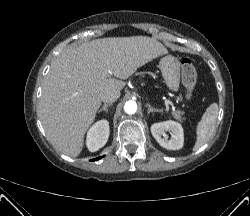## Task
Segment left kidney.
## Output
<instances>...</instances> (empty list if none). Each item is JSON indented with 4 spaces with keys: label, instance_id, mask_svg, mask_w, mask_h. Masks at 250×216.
Wrapping results in <instances>:
<instances>
[{
    "label": "left kidney",
    "instance_id": "5707ae66",
    "mask_svg": "<svg viewBox=\"0 0 250 216\" xmlns=\"http://www.w3.org/2000/svg\"><path fill=\"white\" fill-rule=\"evenodd\" d=\"M166 131L171 133V139L169 140ZM151 133L156 141L168 150H179L183 147V128L178 122L169 120L155 123L151 126Z\"/></svg>",
    "mask_w": 250,
    "mask_h": 216
}]
</instances>
